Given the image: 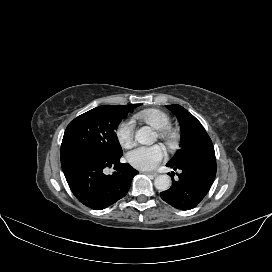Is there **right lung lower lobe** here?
<instances>
[{
    "instance_id": "1",
    "label": "right lung lower lobe",
    "mask_w": 272,
    "mask_h": 272,
    "mask_svg": "<svg viewBox=\"0 0 272 272\" xmlns=\"http://www.w3.org/2000/svg\"><path fill=\"white\" fill-rule=\"evenodd\" d=\"M61 166L74 196L94 210H102L123 198L138 171L120 163V157L105 156L84 146L61 147ZM114 166L112 175L104 168Z\"/></svg>"
}]
</instances>
